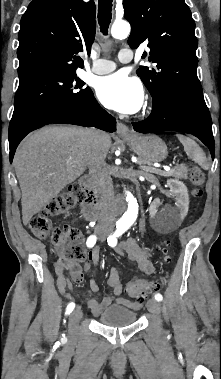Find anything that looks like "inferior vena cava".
<instances>
[{
	"label": "inferior vena cava",
	"instance_id": "602c4592",
	"mask_svg": "<svg viewBox=\"0 0 221 379\" xmlns=\"http://www.w3.org/2000/svg\"><path fill=\"white\" fill-rule=\"evenodd\" d=\"M86 136L89 141V149L87 152L89 175L95 182L97 190L101 196V215L98 227L100 229L111 230L115 223V194L108 166L99 147L101 132L95 129H89L86 131Z\"/></svg>",
	"mask_w": 221,
	"mask_h": 379
}]
</instances>
